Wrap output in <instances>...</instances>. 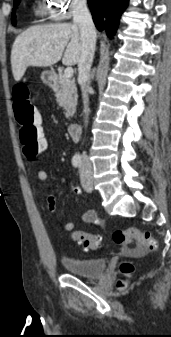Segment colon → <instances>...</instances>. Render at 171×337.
<instances>
[{"label": "colon", "instance_id": "5ec220e1", "mask_svg": "<svg viewBox=\"0 0 171 337\" xmlns=\"http://www.w3.org/2000/svg\"><path fill=\"white\" fill-rule=\"evenodd\" d=\"M14 111L24 156L29 161H34L43 151H51L52 145L47 143L44 126L40 125V116L32 104L27 86L23 84L17 85L14 89ZM112 237L115 244L128 252L139 254L157 248L156 240L148 231L134 228L118 230L113 233ZM72 238L82 243L88 250H94L100 246L98 237L84 231H74ZM120 271L124 275H129L133 271V266L128 262H123L120 265ZM119 287H125L123 280L119 281Z\"/></svg>", "mask_w": 171, "mask_h": 337}]
</instances>
